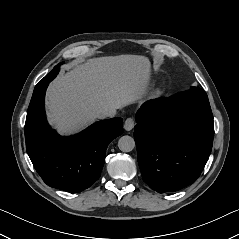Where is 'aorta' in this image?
<instances>
[{
  "label": "aorta",
  "instance_id": "aorta-1",
  "mask_svg": "<svg viewBox=\"0 0 239 239\" xmlns=\"http://www.w3.org/2000/svg\"><path fill=\"white\" fill-rule=\"evenodd\" d=\"M118 147L122 152H131L135 147L134 138L125 135L118 140Z\"/></svg>",
  "mask_w": 239,
  "mask_h": 239
}]
</instances>
